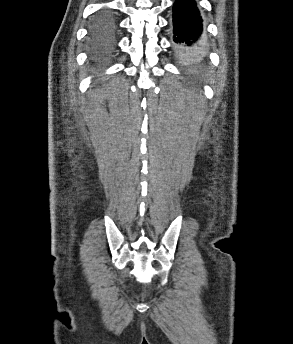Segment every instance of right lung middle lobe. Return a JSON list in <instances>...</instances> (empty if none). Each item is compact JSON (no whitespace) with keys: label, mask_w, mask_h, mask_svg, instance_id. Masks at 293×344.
I'll list each match as a JSON object with an SVG mask.
<instances>
[{"label":"right lung middle lobe","mask_w":293,"mask_h":344,"mask_svg":"<svg viewBox=\"0 0 293 344\" xmlns=\"http://www.w3.org/2000/svg\"><path fill=\"white\" fill-rule=\"evenodd\" d=\"M112 26V17L104 14L99 17L91 28V39L95 47L106 46L110 27Z\"/></svg>","instance_id":"right-lung-middle-lobe-1"}]
</instances>
